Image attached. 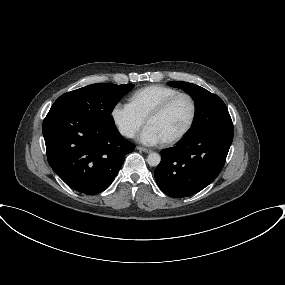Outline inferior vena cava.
<instances>
[{
  "mask_svg": "<svg viewBox=\"0 0 285 285\" xmlns=\"http://www.w3.org/2000/svg\"><path fill=\"white\" fill-rule=\"evenodd\" d=\"M126 136L127 137H133L134 136V131L133 130H130V131H128L127 133H126Z\"/></svg>",
  "mask_w": 285,
  "mask_h": 285,
  "instance_id": "1",
  "label": "inferior vena cava"
}]
</instances>
